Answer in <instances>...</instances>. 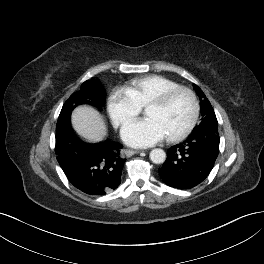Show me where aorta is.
Returning <instances> with one entry per match:
<instances>
[{"instance_id":"1","label":"aorta","mask_w":264,"mask_h":264,"mask_svg":"<svg viewBox=\"0 0 264 264\" xmlns=\"http://www.w3.org/2000/svg\"><path fill=\"white\" fill-rule=\"evenodd\" d=\"M150 160L155 164H162L166 160V153L160 148H155L150 152Z\"/></svg>"}]
</instances>
